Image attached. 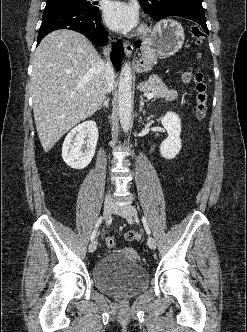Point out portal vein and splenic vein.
I'll use <instances>...</instances> for the list:
<instances>
[{"label":"portal vein and splenic vein","mask_w":247,"mask_h":332,"mask_svg":"<svg viewBox=\"0 0 247 332\" xmlns=\"http://www.w3.org/2000/svg\"><path fill=\"white\" fill-rule=\"evenodd\" d=\"M146 97H147V99H152L154 97V94L153 93H148V94H146Z\"/></svg>","instance_id":"18ae733b"}]
</instances>
